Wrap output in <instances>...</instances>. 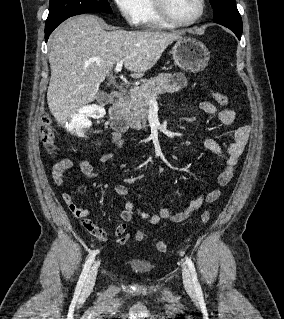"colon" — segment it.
Masks as SVG:
<instances>
[{"mask_svg": "<svg viewBox=\"0 0 284 319\" xmlns=\"http://www.w3.org/2000/svg\"><path fill=\"white\" fill-rule=\"evenodd\" d=\"M213 99L216 103H218L221 106H226L228 104V98L220 93V92H213L212 93ZM40 138L42 141V144L44 145V147L49 151V152H53L55 149V134L54 131L52 129V125H51V121L48 117L43 118L41 125H40ZM210 219V212L208 210L204 211L201 215V222L202 223H206L208 222ZM134 238L136 241H142L144 238V234L142 232H136L134 235ZM129 240V236H123L121 238L118 239V243L121 245H124L128 242ZM166 243L159 241L156 244V249L159 252H165L166 251Z\"/></svg>", "mask_w": 284, "mask_h": 319, "instance_id": "5ec220e1", "label": "colon"}]
</instances>
